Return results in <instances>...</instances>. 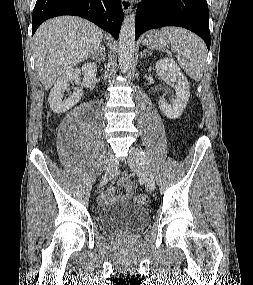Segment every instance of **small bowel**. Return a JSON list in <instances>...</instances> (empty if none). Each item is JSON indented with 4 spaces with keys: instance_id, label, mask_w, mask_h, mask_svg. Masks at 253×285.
I'll list each match as a JSON object with an SVG mask.
<instances>
[{
    "instance_id": "obj_1",
    "label": "small bowel",
    "mask_w": 253,
    "mask_h": 285,
    "mask_svg": "<svg viewBox=\"0 0 253 285\" xmlns=\"http://www.w3.org/2000/svg\"><path fill=\"white\" fill-rule=\"evenodd\" d=\"M119 185H121L125 192L123 195L116 197L114 188H107L101 195L100 201L103 205H110L117 202H126L128 201L134 193V184L127 178L125 174L121 175L118 179Z\"/></svg>"
}]
</instances>
